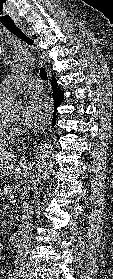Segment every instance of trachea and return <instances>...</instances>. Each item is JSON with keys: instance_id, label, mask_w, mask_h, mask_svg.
Masks as SVG:
<instances>
[{"instance_id": "3493384b", "label": "trachea", "mask_w": 113, "mask_h": 279, "mask_svg": "<svg viewBox=\"0 0 113 279\" xmlns=\"http://www.w3.org/2000/svg\"><path fill=\"white\" fill-rule=\"evenodd\" d=\"M10 32H12L15 36L23 40L28 45H33L34 40L31 39L28 35H26L22 30H20L16 25H6L5 26ZM40 77L43 80H47L46 71L44 68L40 69Z\"/></svg>"}]
</instances>
